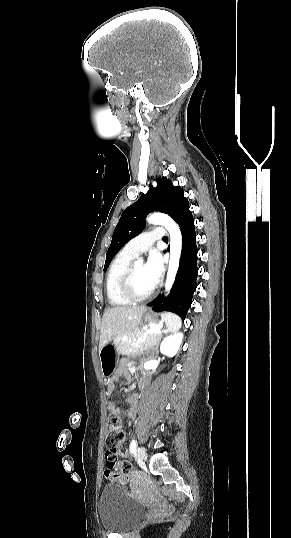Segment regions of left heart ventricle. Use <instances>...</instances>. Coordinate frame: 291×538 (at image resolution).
Masks as SVG:
<instances>
[{
  "label": "left heart ventricle",
  "mask_w": 291,
  "mask_h": 538,
  "mask_svg": "<svg viewBox=\"0 0 291 538\" xmlns=\"http://www.w3.org/2000/svg\"><path fill=\"white\" fill-rule=\"evenodd\" d=\"M134 286L139 294H145L150 291L153 286L150 283L142 263H137L134 268Z\"/></svg>",
  "instance_id": "obj_1"
}]
</instances>
